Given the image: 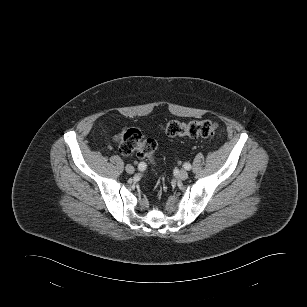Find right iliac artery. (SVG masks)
Returning a JSON list of instances; mask_svg holds the SVG:
<instances>
[{
    "mask_svg": "<svg viewBox=\"0 0 307 307\" xmlns=\"http://www.w3.org/2000/svg\"><path fill=\"white\" fill-rule=\"evenodd\" d=\"M138 169H139L140 171L145 170V169H146V164H145L144 162H141V163L138 165Z\"/></svg>",
    "mask_w": 307,
    "mask_h": 307,
    "instance_id": "82829eb1",
    "label": "right iliac artery"
}]
</instances>
